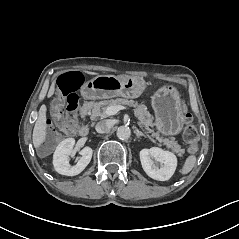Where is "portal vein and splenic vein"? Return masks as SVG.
<instances>
[{"instance_id": "portal-vein-and-splenic-vein-1", "label": "portal vein and splenic vein", "mask_w": 239, "mask_h": 239, "mask_svg": "<svg viewBox=\"0 0 239 239\" xmlns=\"http://www.w3.org/2000/svg\"><path fill=\"white\" fill-rule=\"evenodd\" d=\"M119 110H128L127 106H109L105 109V115L106 116H112L115 115ZM144 133L147 135L149 139H151V136L148 134V132L144 131Z\"/></svg>"}]
</instances>
